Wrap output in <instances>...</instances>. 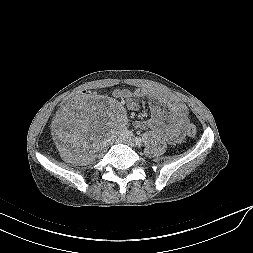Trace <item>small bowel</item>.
<instances>
[{
    "label": "small bowel",
    "mask_w": 253,
    "mask_h": 253,
    "mask_svg": "<svg viewBox=\"0 0 253 253\" xmlns=\"http://www.w3.org/2000/svg\"><path fill=\"white\" fill-rule=\"evenodd\" d=\"M113 96L126 104L130 110L139 108L135 98H147L152 102V117L146 121H135L138 129H150L162 136L170 144H177L184 137L183 129L188 122L187 107L177 98L153 90L138 88L116 89ZM59 122L61 133H66V113ZM167 120V122H165Z\"/></svg>",
    "instance_id": "obj_1"
}]
</instances>
